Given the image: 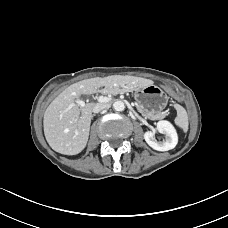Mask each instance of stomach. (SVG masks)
Returning a JSON list of instances; mask_svg holds the SVG:
<instances>
[{
    "mask_svg": "<svg viewBox=\"0 0 228 228\" xmlns=\"http://www.w3.org/2000/svg\"><path fill=\"white\" fill-rule=\"evenodd\" d=\"M136 104L145 110V113H157L163 110L168 102L164 91L155 85L142 87L135 92Z\"/></svg>",
    "mask_w": 228,
    "mask_h": 228,
    "instance_id": "stomach-1",
    "label": "stomach"
}]
</instances>
